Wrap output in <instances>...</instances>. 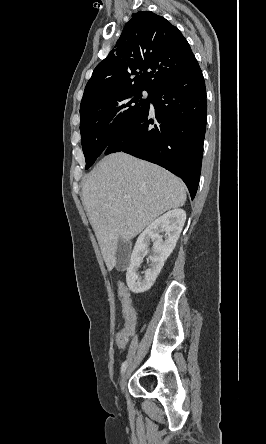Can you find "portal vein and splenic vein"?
<instances>
[{
  "label": "portal vein and splenic vein",
  "instance_id": "1",
  "mask_svg": "<svg viewBox=\"0 0 266 444\" xmlns=\"http://www.w3.org/2000/svg\"><path fill=\"white\" fill-rule=\"evenodd\" d=\"M126 198H130V196H126Z\"/></svg>",
  "mask_w": 266,
  "mask_h": 444
}]
</instances>
